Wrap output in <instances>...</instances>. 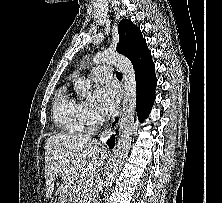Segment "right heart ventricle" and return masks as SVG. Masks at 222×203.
<instances>
[{"mask_svg": "<svg viewBox=\"0 0 222 203\" xmlns=\"http://www.w3.org/2000/svg\"><path fill=\"white\" fill-rule=\"evenodd\" d=\"M82 103L74 97L68 87L60 90L53 107L55 123L64 131L79 133L84 129Z\"/></svg>", "mask_w": 222, "mask_h": 203, "instance_id": "right-heart-ventricle-1", "label": "right heart ventricle"}]
</instances>
